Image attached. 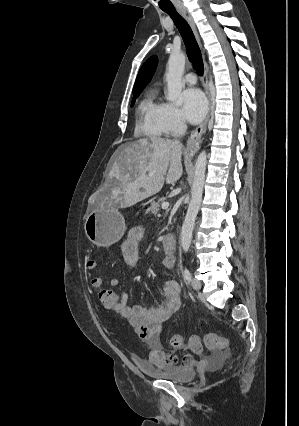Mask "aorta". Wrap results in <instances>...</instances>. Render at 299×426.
Returning a JSON list of instances; mask_svg holds the SVG:
<instances>
[{"label": "aorta", "mask_w": 299, "mask_h": 426, "mask_svg": "<svg viewBox=\"0 0 299 426\" xmlns=\"http://www.w3.org/2000/svg\"><path fill=\"white\" fill-rule=\"evenodd\" d=\"M185 61L186 56L182 52L172 53L168 60V67L166 72V81L168 87L167 100L171 101L176 106H181L183 104L181 92L184 87L182 76L185 69ZM206 165V151H202L195 163L194 181L191 189V200L181 230V245L184 252H187L191 245L192 232L202 201Z\"/></svg>", "instance_id": "762f6f07"}]
</instances>
